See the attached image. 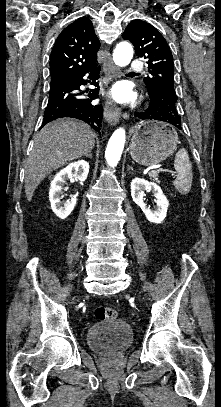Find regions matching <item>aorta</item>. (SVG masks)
<instances>
[{
	"label": "aorta",
	"mask_w": 221,
	"mask_h": 407,
	"mask_svg": "<svg viewBox=\"0 0 221 407\" xmlns=\"http://www.w3.org/2000/svg\"><path fill=\"white\" fill-rule=\"evenodd\" d=\"M132 57L133 48L131 44L126 41L120 42L113 52V61L120 67L128 65L132 60ZM125 139L126 133L123 128H118L109 139L105 152V158L109 166H117L122 155Z\"/></svg>",
	"instance_id": "1"
}]
</instances>
